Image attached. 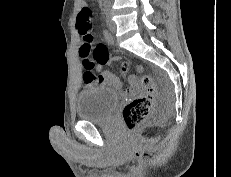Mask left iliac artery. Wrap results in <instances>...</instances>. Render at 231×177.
<instances>
[{"label": "left iliac artery", "mask_w": 231, "mask_h": 177, "mask_svg": "<svg viewBox=\"0 0 231 177\" xmlns=\"http://www.w3.org/2000/svg\"><path fill=\"white\" fill-rule=\"evenodd\" d=\"M103 11H104V14H108L109 11H110V4L108 2H104L103 4Z\"/></svg>", "instance_id": "obj_1"}]
</instances>
